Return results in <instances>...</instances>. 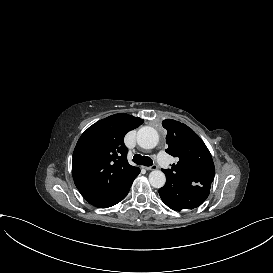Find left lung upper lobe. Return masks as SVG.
I'll return each instance as SVG.
<instances>
[{"label": "left lung upper lobe", "mask_w": 273, "mask_h": 273, "mask_svg": "<svg viewBox=\"0 0 273 273\" xmlns=\"http://www.w3.org/2000/svg\"><path fill=\"white\" fill-rule=\"evenodd\" d=\"M162 126L167 130L166 152L178 157L177 164L162 171L175 179L201 186H210L214 180V163L201 138L185 124L166 119Z\"/></svg>", "instance_id": "1"}]
</instances>
